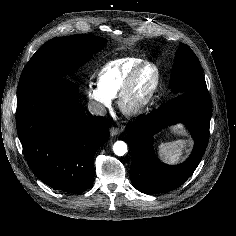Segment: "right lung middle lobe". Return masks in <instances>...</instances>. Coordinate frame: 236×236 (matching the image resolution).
<instances>
[{"mask_svg":"<svg viewBox=\"0 0 236 236\" xmlns=\"http://www.w3.org/2000/svg\"><path fill=\"white\" fill-rule=\"evenodd\" d=\"M106 39L87 34L57 37L47 41L25 66L18 87L51 78H62L99 52Z\"/></svg>","mask_w":236,"mask_h":236,"instance_id":"1","label":"right lung middle lobe"}]
</instances>
